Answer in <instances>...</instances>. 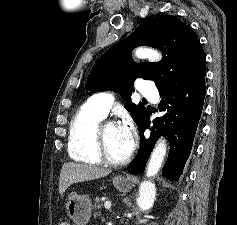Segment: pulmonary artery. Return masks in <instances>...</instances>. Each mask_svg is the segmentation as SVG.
<instances>
[{
    "label": "pulmonary artery",
    "mask_w": 237,
    "mask_h": 225,
    "mask_svg": "<svg viewBox=\"0 0 237 225\" xmlns=\"http://www.w3.org/2000/svg\"><path fill=\"white\" fill-rule=\"evenodd\" d=\"M140 93L147 97L150 101H157V89L156 86L151 82H146L140 89ZM92 101L96 108L103 114L107 115L111 106L114 103V95L110 92L97 93L92 97Z\"/></svg>",
    "instance_id": "obj_1"
}]
</instances>
